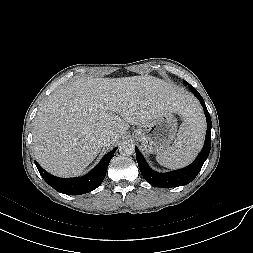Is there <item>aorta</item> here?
I'll use <instances>...</instances> for the list:
<instances>
[{
	"label": "aorta",
	"mask_w": 253,
	"mask_h": 253,
	"mask_svg": "<svg viewBox=\"0 0 253 253\" xmlns=\"http://www.w3.org/2000/svg\"><path fill=\"white\" fill-rule=\"evenodd\" d=\"M135 152V146L130 141H123L119 145V153L123 156L133 155Z\"/></svg>",
	"instance_id": "obj_1"
}]
</instances>
